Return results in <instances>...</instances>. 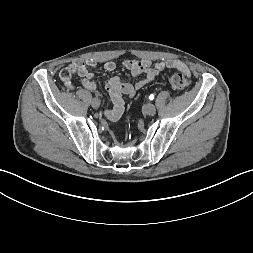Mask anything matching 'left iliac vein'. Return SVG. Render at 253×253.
<instances>
[{
    "label": "left iliac vein",
    "mask_w": 253,
    "mask_h": 253,
    "mask_svg": "<svg viewBox=\"0 0 253 253\" xmlns=\"http://www.w3.org/2000/svg\"><path fill=\"white\" fill-rule=\"evenodd\" d=\"M145 113L147 114V115H154L155 114V112H156V107H155V105L154 104H152V103H148L146 106H145Z\"/></svg>",
    "instance_id": "obj_1"
}]
</instances>
